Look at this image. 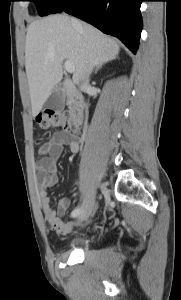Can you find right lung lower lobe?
<instances>
[{
	"mask_svg": "<svg viewBox=\"0 0 181 300\" xmlns=\"http://www.w3.org/2000/svg\"><path fill=\"white\" fill-rule=\"evenodd\" d=\"M145 0H65L55 13L66 12L121 39L135 54L142 30L141 2Z\"/></svg>",
	"mask_w": 181,
	"mask_h": 300,
	"instance_id": "right-lung-lower-lobe-1",
	"label": "right lung lower lobe"
}]
</instances>
